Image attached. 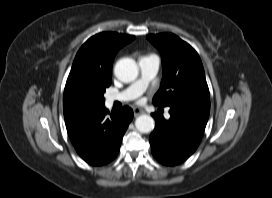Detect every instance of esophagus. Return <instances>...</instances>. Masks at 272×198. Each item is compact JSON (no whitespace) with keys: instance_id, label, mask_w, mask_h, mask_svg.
<instances>
[{"instance_id":"1","label":"esophagus","mask_w":272,"mask_h":198,"mask_svg":"<svg viewBox=\"0 0 272 198\" xmlns=\"http://www.w3.org/2000/svg\"><path fill=\"white\" fill-rule=\"evenodd\" d=\"M133 112H134L135 117H137V116H139L141 114H144V110H142L141 108H138V107H134Z\"/></svg>"}]
</instances>
